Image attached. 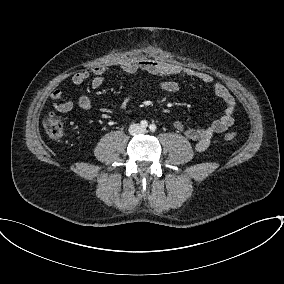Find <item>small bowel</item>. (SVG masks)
<instances>
[{
  "label": "small bowel",
  "mask_w": 284,
  "mask_h": 284,
  "mask_svg": "<svg viewBox=\"0 0 284 284\" xmlns=\"http://www.w3.org/2000/svg\"><path fill=\"white\" fill-rule=\"evenodd\" d=\"M123 72L127 74H133L138 71H145L152 75L163 77L164 80L160 82V87L168 93H176L179 90V85L171 77L186 74L198 78L205 84H211L213 77L204 72H197L194 70H185L182 67L154 59H136L128 60L120 65ZM108 68L106 66H96L90 70H80L72 76V81L75 84H81L91 79V86L93 88L100 87L107 73ZM214 94L223 102L224 108L219 118L212 121L206 127H187L182 122H174V127L178 131L182 132L186 138L195 143V148L198 151H204L210 145L212 138L216 134H220L228 130L234 122V112L236 107V101L229 90L220 83L213 85ZM51 99L53 100L54 108L61 112L67 113L72 110L74 103L70 99H65L61 89L57 88L52 91ZM78 106L83 110H90L92 102L86 95H82L78 99Z\"/></svg>",
  "instance_id": "small-bowel-1"
}]
</instances>
